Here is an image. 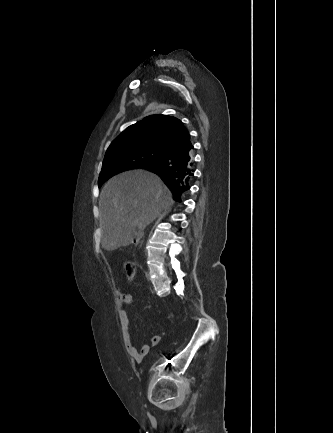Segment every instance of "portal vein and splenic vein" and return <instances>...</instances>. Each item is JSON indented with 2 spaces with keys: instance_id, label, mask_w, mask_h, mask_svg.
<instances>
[{
  "instance_id": "1",
  "label": "portal vein and splenic vein",
  "mask_w": 333,
  "mask_h": 433,
  "mask_svg": "<svg viewBox=\"0 0 333 433\" xmlns=\"http://www.w3.org/2000/svg\"><path fill=\"white\" fill-rule=\"evenodd\" d=\"M136 225H138V226H140L141 225V223H139L138 222V220H135V222H134Z\"/></svg>"
}]
</instances>
